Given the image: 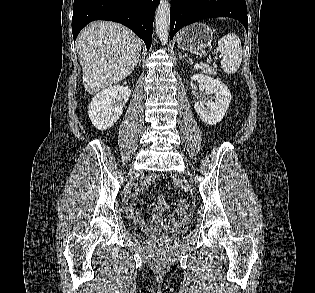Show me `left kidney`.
I'll list each match as a JSON object with an SVG mask.
<instances>
[{
    "mask_svg": "<svg viewBox=\"0 0 315 293\" xmlns=\"http://www.w3.org/2000/svg\"><path fill=\"white\" fill-rule=\"evenodd\" d=\"M191 79L204 85L208 95H215V101L211 99L198 101L195 103L194 108L204 123L208 125L217 124L223 119L231 101V93L228 87L220 80L213 79L203 74H195Z\"/></svg>",
    "mask_w": 315,
    "mask_h": 293,
    "instance_id": "1",
    "label": "left kidney"
}]
</instances>
